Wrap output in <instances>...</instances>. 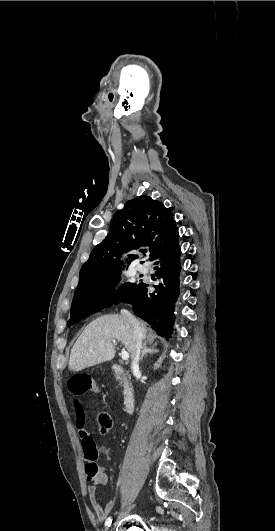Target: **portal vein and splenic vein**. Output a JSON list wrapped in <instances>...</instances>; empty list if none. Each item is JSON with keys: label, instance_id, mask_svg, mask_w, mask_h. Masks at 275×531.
Instances as JSON below:
<instances>
[{"label": "portal vein and splenic vein", "instance_id": "obj_1", "mask_svg": "<svg viewBox=\"0 0 275 531\" xmlns=\"http://www.w3.org/2000/svg\"><path fill=\"white\" fill-rule=\"evenodd\" d=\"M112 343H116L115 339ZM121 359H123V361H128L129 359V353H126L125 349H122L121 351Z\"/></svg>", "mask_w": 275, "mask_h": 531}]
</instances>
